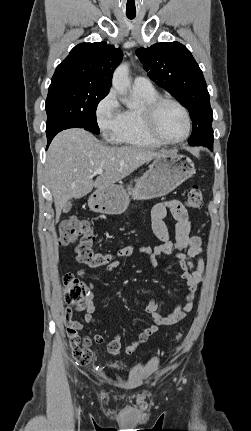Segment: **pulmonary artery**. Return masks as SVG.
Wrapping results in <instances>:
<instances>
[{"mask_svg":"<svg viewBox=\"0 0 251 431\" xmlns=\"http://www.w3.org/2000/svg\"><path fill=\"white\" fill-rule=\"evenodd\" d=\"M133 89L136 91H152L154 87L149 79L136 76L133 80Z\"/></svg>","mask_w":251,"mask_h":431,"instance_id":"pulmonary-artery-1","label":"pulmonary artery"}]
</instances>
